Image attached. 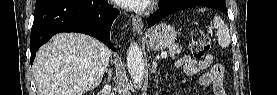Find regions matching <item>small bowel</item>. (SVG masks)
Returning a JSON list of instances; mask_svg holds the SVG:
<instances>
[{"instance_id":"small-bowel-1","label":"small bowel","mask_w":277,"mask_h":95,"mask_svg":"<svg viewBox=\"0 0 277 95\" xmlns=\"http://www.w3.org/2000/svg\"><path fill=\"white\" fill-rule=\"evenodd\" d=\"M176 65L182 68L187 75L200 73L201 84L212 85L213 94L226 95L221 79L222 66L214 65L211 55H206L201 60L183 56L176 61Z\"/></svg>"}]
</instances>
